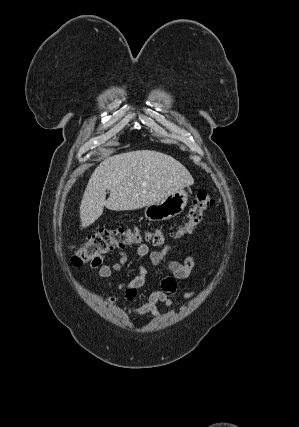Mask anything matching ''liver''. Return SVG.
<instances>
[{"label": "liver", "instance_id": "obj_1", "mask_svg": "<svg viewBox=\"0 0 299 427\" xmlns=\"http://www.w3.org/2000/svg\"><path fill=\"white\" fill-rule=\"evenodd\" d=\"M193 183L192 175L179 161L161 152L137 150L111 156L99 164L88 181L80 205L81 227L93 224L104 207L136 210ZM106 190L110 191L107 200Z\"/></svg>", "mask_w": 299, "mask_h": 427}]
</instances>
